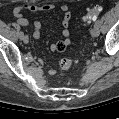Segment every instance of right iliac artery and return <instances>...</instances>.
Instances as JSON below:
<instances>
[{"instance_id": "obj_1", "label": "right iliac artery", "mask_w": 119, "mask_h": 119, "mask_svg": "<svg viewBox=\"0 0 119 119\" xmlns=\"http://www.w3.org/2000/svg\"><path fill=\"white\" fill-rule=\"evenodd\" d=\"M23 36H24V33L21 31V32L19 33V37L22 39Z\"/></svg>"}]
</instances>
